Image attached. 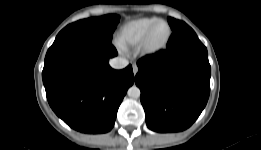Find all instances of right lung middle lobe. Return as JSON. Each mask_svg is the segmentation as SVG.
Masks as SVG:
<instances>
[{"instance_id": "obj_1", "label": "right lung middle lobe", "mask_w": 261, "mask_h": 150, "mask_svg": "<svg viewBox=\"0 0 261 150\" xmlns=\"http://www.w3.org/2000/svg\"><path fill=\"white\" fill-rule=\"evenodd\" d=\"M120 17L115 14L79 20L66 26L54 43L67 39H82L98 42H111L113 32Z\"/></svg>"}]
</instances>
